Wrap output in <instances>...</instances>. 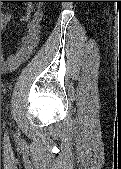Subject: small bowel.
Here are the masks:
<instances>
[{"label": "small bowel", "instance_id": "1", "mask_svg": "<svg viewBox=\"0 0 121 169\" xmlns=\"http://www.w3.org/2000/svg\"><path fill=\"white\" fill-rule=\"evenodd\" d=\"M13 15L6 12L1 17V28L4 29L12 20ZM40 12L36 11L31 17L30 14L24 16L21 21L25 25L24 34L15 51L7 57L1 55V71L9 72L15 70L30 56L36 47L40 37Z\"/></svg>", "mask_w": 121, "mask_h": 169}]
</instances>
